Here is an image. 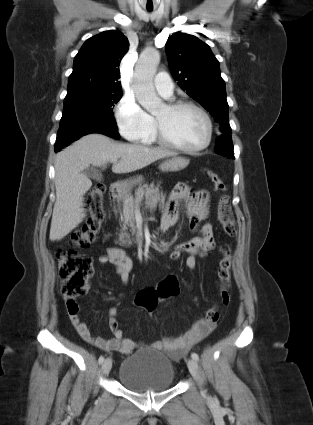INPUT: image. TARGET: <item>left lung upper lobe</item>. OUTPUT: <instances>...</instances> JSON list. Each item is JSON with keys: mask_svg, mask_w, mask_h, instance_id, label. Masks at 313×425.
Returning a JSON list of instances; mask_svg holds the SVG:
<instances>
[{"mask_svg": "<svg viewBox=\"0 0 313 425\" xmlns=\"http://www.w3.org/2000/svg\"><path fill=\"white\" fill-rule=\"evenodd\" d=\"M170 71L178 85L215 118L221 133L231 132L225 82L210 47L197 37L176 33L166 42ZM218 154L234 157L232 140L217 144Z\"/></svg>", "mask_w": 313, "mask_h": 425, "instance_id": "left-lung-upper-lobe-1", "label": "left lung upper lobe"}]
</instances>
